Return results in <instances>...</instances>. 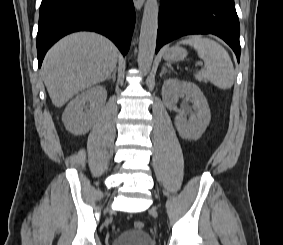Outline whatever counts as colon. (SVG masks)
Masks as SVG:
<instances>
[{
	"instance_id": "obj_1",
	"label": "colon",
	"mask_w": 283,
	"mask_h": 245,
	"mask_svg": "<svg viewBox=\"0 0 283 245\" xmlns=\"http://www.w3.org/2000/svg\"><path fill=\"white\" fill-rule=\"evenodd\" d=\"M134 227L137 229V230H141L143 229L144 227V223L142 221H135L134 222Z\"/></svg>"
}]
</instances>
